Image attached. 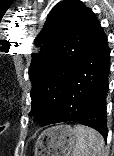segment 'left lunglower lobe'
<instances>
[{
  "mask_svg": "<svg viewBox=\"0 0 114 156\" xmlns=\"http://www.w3.org/2000/svg\"><path fill=\"white\" fill-rule=\"evenodd\" d=\"M110 50L97 21L68 81L59 110L46 125L75 121L107 138L105 96L108 90Z\"/></svg>",
  "mask_w": 114,
  "mask_h": 156,
  "instance_id": "0a47b994",
  "label": "left lung lower lobe"
}]
</instances>
